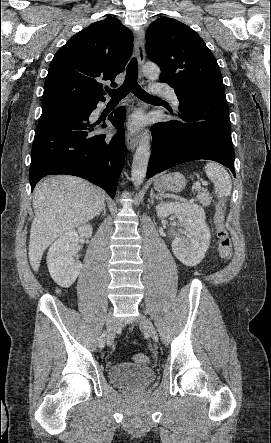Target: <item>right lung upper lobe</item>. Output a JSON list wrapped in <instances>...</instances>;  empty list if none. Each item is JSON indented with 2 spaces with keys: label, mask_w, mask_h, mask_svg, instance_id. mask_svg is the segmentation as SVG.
I'll list each match as a JSON object with an SVG mask.
<instances>
[{
  "label": "right lung upper lobe",
  "mask_w": 271,
  "mask_h": 443,
  "mask_svg": "<svg viewBox=\"0 0 271 443\" xmlns=\"http://www.w3.org/2000/svg\"><path fill=\"white\" fill-rule=\"evenodd\" d=\"M133 35L120 20L108 17L72 36L55 54L44 84L42 104L62 101H104L103 85L125 69Z\"/></svg>",
  "instance_id": "1"
}]
</instances>
